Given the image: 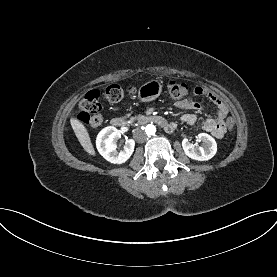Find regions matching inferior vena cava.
<instances>
[{
  "label": "inferior vena cava",
  "mask_w": 277,
  "mask_h": 277,
  "mask_svg": "<svg viewBox=\"0 0 277 277\" xmlns=\"http://www.w3.org/2000/svg\"><path fill=\"white\" fill-rule=\"evenodd\" d=\"M134 137L139 143H143L147 139V135L144 131L141 129H136L134 132Z\"/></svg>",
  "instance_id": "inferior-vena-cava-1"
}]
</instances>
